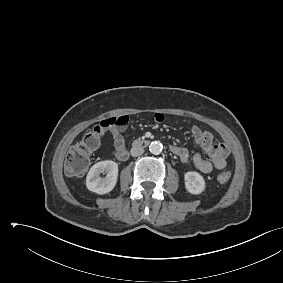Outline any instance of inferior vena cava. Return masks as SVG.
<instances>
[{
  "label": "inferior vena cava",
  "mask_w": 283,
  "mask_h": 283,
  "mask_svg": "<svg viewBox=\"0 0 283 283\" xmlns=\"http://www.w3.org/2000/svg\"><path fill=\"white\" fill-rule=\"evenodd\" d=\"M130 153L133 157H137L144 153V149L141 146H133L130 150Z\"/></svg>",
  "instance_id": "inferior-vena-cava-1"
}]
</instances>
